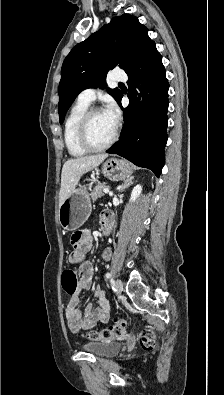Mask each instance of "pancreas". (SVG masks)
Listing matches in <instances>:
<instances>
[{
	"label": "pancreas",
	"instance_id": "1",
	"mask_svg": "<svg viewBox=\"0 0 224 395\" xmlns=\"http://www.w3.org/2000/svg\"><path fill=\"white\" fill-rule=\"evenodd\" d=\"M105 188H109V186H106L104 184L97 185L90 194L91 200L95 202L98 198L104 196L103 192Z\"/></svg>",
	"mask_w": 224,
	"mask_h": 395
}]
</instances>
